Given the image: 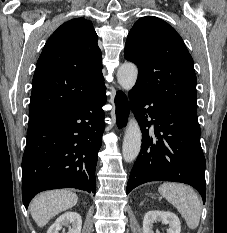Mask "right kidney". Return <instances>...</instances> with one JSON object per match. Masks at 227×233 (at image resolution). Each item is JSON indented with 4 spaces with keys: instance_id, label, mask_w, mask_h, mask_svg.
Returning a JSON list of instances; mask_svg holds the SVG:
<instances>
[{
    "instance_id": "1",
    "label": "right kidney",
    "mask_w": 227,
    "mask_h": 233,
    "mask_svg": "<svg viewBox=\"0 0 227 233\" xmlns=\"http://www.w3.org/2000/svg\"><path fill=\"white\" fill-rule=\"evenodd\" d=\"M63 226L69 227L67 233H81V216L77 212H65L50 226L47 233H59Z\"/></svg>"
}]
</instances>
